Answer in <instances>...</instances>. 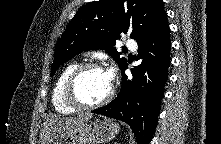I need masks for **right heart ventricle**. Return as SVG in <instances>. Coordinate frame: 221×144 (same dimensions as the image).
<instances>
[{
    "label": "right heart ventricle",
    "mask_w": 221,
    "mask_h": 144,
    "mask_svg": "<svg viewBox=\"0 0 221 144\" xmlns=\"http://www.w3.org/2000/svg\"><path fill=\"white\" fill-rule=\"evenodd\" d=\"M78 66L77 62L69 63L59 74L52 91V103L54 109L62 114H71L76 111V109L69 106L64 99V84L71 74V72Z\"/></svg>",
    "instance_id": "1"
}]
</instances>
